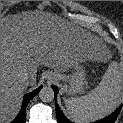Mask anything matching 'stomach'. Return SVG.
<instances>
[{
  "label": "stomach",
  "instance_id": "obj_1",
  "mask_svg": "<svg viewBox=\"0 0 123 123\" xmlns=\"http://www.w3.org/2000/svg\"><path fill=\"white\" fill-rule=\"evenodd\" d=\"M51 77H56L59 80L69 83V94L80 93L87 86L85 68L81 62L77 63L70 74H64L63 71L55 70L50 73Z\"/></svg>",
  "mask_w": 123,
  "mask_h": 123
}]
</instances>
